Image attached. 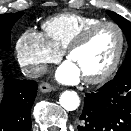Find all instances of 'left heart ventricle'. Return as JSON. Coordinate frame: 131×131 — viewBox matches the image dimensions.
<instances>
[{
  "mask_svg": "<svg viewBox=\"0 0 131 131\" xmlns=\"http://www.w3.org/2000/svg\"><path fill=\"white\" fill-rule=\"evenodd\" d=\"M119 35L115 28L105 26L98 29L88 42L72 53L70 61L81 77L100 74L109 67L117 53Z\"/></svg>",
  "mask_w": 131,
  "mask_h": 131,
  "instance_id": "1",
  "label": "left heart ventricle"
}]
</instances>
